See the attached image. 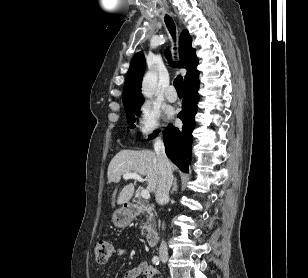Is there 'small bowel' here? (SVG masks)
Returning a JSON list of instances; mask_svg holds the SVG:
<instances>
[{
	"instance_id": "1",
	"label": "small bowel",
	"mask_w": 308,
	"mask_h": 278,
	"mask_svg": "<svg viewBox=\"0 0 308 278\" xmlns=\"http://www.w3.org/2000/svg\"><path fill=\"white\" fill-rule=\"evenodd\" d=\"M128 254L126 248H118L115 251V257L121 258L125 257ZM160 278L159 271L151 266L147 261L141 262L137 267H134L128 270L123 278Z\"/></svg>"
}]
</instances>
